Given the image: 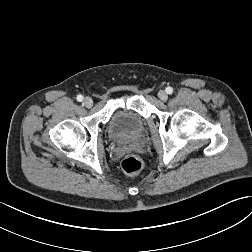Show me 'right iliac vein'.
Here are the masks:
<instances>
[{
    "instance_id": "1",
    "label": "right iliac vein",
    "mask_w": 252,
    "mask_h": 252,
    "mask_svg": "<svg viewBox=\"0 0 252 252\" xmlns=\"http://www.w3.org/2000/svg\"><path fill=\"white\" fill-rule=\"evenodd\" d=\"M83 103L87 108H90L93 105V100L90 97H85Z\"/></svg>"
}]
</instances>
